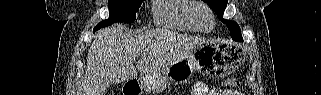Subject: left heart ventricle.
Here are the masks:
<instances>
[{"instance_id":"obj_1","label":"left heart ventricle","mask_w":321,"mask_h":95,"mask_svg":"<svg viewBox=\"0 0 321 95\" xmlns=\"http://www.w3.org/2000/svg\"><path fill=\"white\" fill-rule=\"evenodd\" d=\"M200 19H201L202 24H204L205 26L209 25V20L207 19V17L203 13L201 14Z\"/></svg>"}]
</instances>
